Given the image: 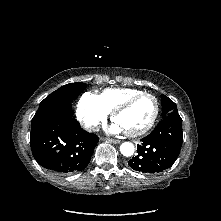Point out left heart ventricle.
Returning <instances> with one entry per match:
<instances>
[{"label":"left heart ventricle","instance_id":"left-heart-ventricle-1","mask_svg":"<svg viewBox=\"0 0 221 221\" xmlns=\"http://www.w3.org/2000/svg\"><path fill=\"white\" fill-rule=\"evenodd\" d=\"M154 109V100L151 97L145 96L136 100L128 109L122 111L115 121L126 132L138 131L149 123Z\"/></svg>","mask_w":221,"mask_h":221}]
</instances>
